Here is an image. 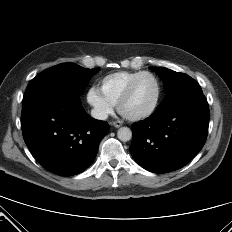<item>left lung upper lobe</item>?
Wrapping results in <instances>:
<instances>
[{
    "label": "left lung upper lobe",
    "instance_id": "1",
    "mask_svg": "<svg viewBox=\"0 0 232 232\" xmlns=\"http://www.w3.org/2000/svg\"><path fill=\"white\" fill-rule=\"evenodd\" d=\"M162 79L166 88L164 100L159 107L167 105L178 97L199 89V84L184 73L175 72L164 67H151Z\"/></svg>",
    "mask_w": 232,
    "mask_h": 232
}]
</instances>
